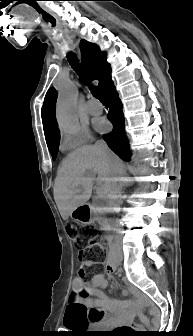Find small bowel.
<instances>
[{
  "label": "small bowel",
  "mask_w": 193,
  "mask_h": 336,
  "mask_svg": "<svg viewBox=\"0 0 193 336\" xmlns=\"http://www.w3.org/2000/svg\"><path fill=\"white\" fill-rule=\"evenodd\" d=\"M106 272L113 268L107 263ZM108 282L103 273L95 274L90 280L77 276L72 282L69 310L65 325L92 324L97 327L126 324L131 321L132 309L128 301H117L104 292ZM125 296L130 293L125 290Z\"/></svg>",
  "instance_id": "obj_1"
}]
</instances>
